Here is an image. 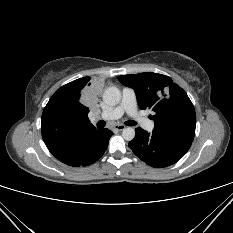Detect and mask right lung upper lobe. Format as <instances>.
Segmentation results:
<instances>
[{"label":"right lung upper lobe","instance_id":"right-lung-upper-lobe-1","mask_svg":"<svg viewBox=\"0 0 233 233\" xmlns=\"http://www.w3.org/2000/svg\"><path fill=\"white\" fill-rule=\"evenodd\" d=\"M93 89L90 77L74 80L59 88L49 102L59 101L66 106V116L57 122L42 120L43 140L52 141L59 148L76 146L85 136L97 132L88 119L89 109L81 102V92L89 93Z\"/></svg>","mask_w":233,"mask_h":233}]
</instances>
